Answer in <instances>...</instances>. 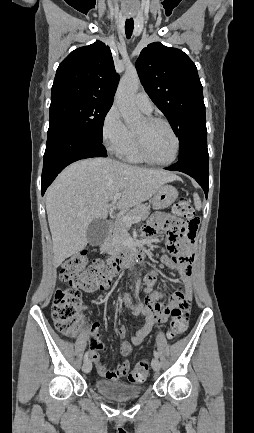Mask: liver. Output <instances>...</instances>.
Wrapping results in <instances>:
<instances>
[{
    "mask_svg": "<svg viewBox=\"0 0 254 433\" xmlns=\"http://www.w3.org/2000/svg\"><path fill=\"white\" fill-rule=\"evenodd\" d=\"M177 179L168 171L110 158L85 159L68 166L46 193L55 266L86 247L89 224L106 218L109 208L136 206L151 198L160 186ZM118 193L121 198L110 203Z\"/></svg>",
    "mask_w": 254,
    "mask_h": 433,
    "instance_id": "6515ba94",
    "label": "liver"
}]
</instances>
